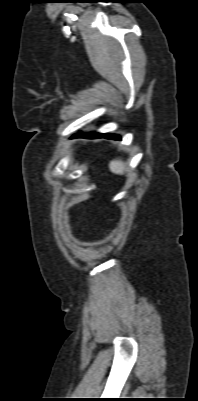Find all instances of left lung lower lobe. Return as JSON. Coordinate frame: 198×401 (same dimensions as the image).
<instances>
[{
    "label": "left lung lower lobe",
    "instance_id": "obj_1",
    "mask_svg": "<svg viewBox=\"0 0 198 401\" xmlns=\"http://www.w3.org/2000/svg\"><path fill=\"white\" fill-rule=\"evenodd\" d=\"M73 137H84V138H101V137H104V138H107V139H120V137L117 136V135L101 134V133H94V132L87 133V134L79 133V134H77V135H75Z\"/></svg>",
    "mask_w": 198,
    "mask_h": 401
}]
</instances>
